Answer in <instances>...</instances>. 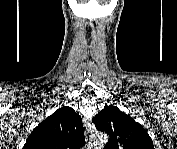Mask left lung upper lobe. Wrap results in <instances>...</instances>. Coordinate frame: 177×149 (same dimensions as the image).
<instances>
[{"label":"left lung upper lobe","instance_id":"5c2ea615","mask_svg":"<svg viewBox=\"0 0 177 149\" xmlns=\"http://www.w3.org/2000/svg\"><path fill=\"white\" fill-rule=\"evenodd\" d=\"M96 128L109 135L105 149H154L142 125L115 106H108L92 119Z\"/></svg>","mask_w":177,"mask_h":149}]
</instances>
